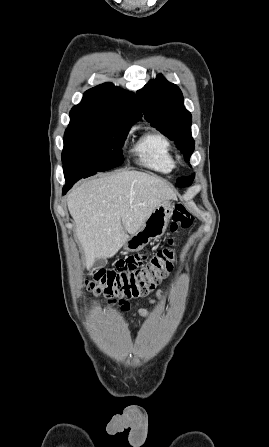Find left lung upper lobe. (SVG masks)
Wrapping results in <instances>:
<instances>
[{
  "label": "left lung upper lobe",
  "mask_w": 269,
  "mask_h": 447,
  "mask_svg": "<svg viewBox=\"0 0 269 447\" xmlns=\"http://www.w3.org/2000/svg\"><path fill=\"white\" fill-rule=\"evenodd\" d=\"M137 97L147 121L173 140L188 162L194 151L191 114L183 106V95L179 87L158 75L137 92ZM193 179L194 175L180 177L176 186H189Z\"/></svg>",
  "instance_id": "5c2ea615"
}]
</instances>
